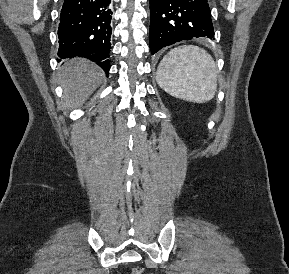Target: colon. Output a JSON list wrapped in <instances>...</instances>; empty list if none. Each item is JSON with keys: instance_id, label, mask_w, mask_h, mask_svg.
<instances>
[{"instance_id": "5ec220e1", "label": "colon", "mask_w": 289, "mask_h": 274, "mask_svg": "<svg viewBox=\"0 0 289 274\" xmlns=\"http://www.w3.org/2000/svg\"><path fill=\"white\" fill-rule=\"evenodd\" d=\"M142 273V268H133L131 274H141Z\"/></svg>"}]
</instances>
